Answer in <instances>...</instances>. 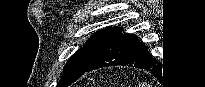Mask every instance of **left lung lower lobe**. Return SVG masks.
I'll return each instance as SVG.
<instances>
[{
    "label": "left lung lower lobe",
    "mask_w": 205,
    "mask_h": 87,
    "mask_svg": "<svg viewBox=\"0 0 205 87\" xmlns=\"http://www.w3.org/2000/svg\"><path fill=\"white\" fill-rule=\"evenodd\" d=\"M116 65L146 69L154 75L158 74L161 69L160 64L150 57L147 47L139 42L138 37L132 34H122L121 28H116L109 36L84 73Z\"/></svg>",
    "instance_id": "1"
}]
</instances>
